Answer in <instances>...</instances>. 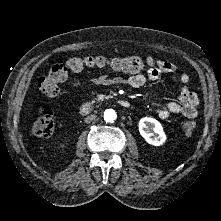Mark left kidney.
I'll return each instance as SVG.
<instances>
[{
  "mask_svg": "<svg viewBox=\"0 0 221 221\" xmlns=\"http://www.w3.org/2000/svg\"><path fill=\"white\" fill-rule=\"evenodd\" d=\"M140 135L147 143L160 146L166 141V135L159 121L151 117L140 119L139 124Z\"/></svg>",
  "mask_w": 221,
  "mask_h": 221,
  "instance_id": "obj_1",
  "label": "left kidney"
}]
</instances>
